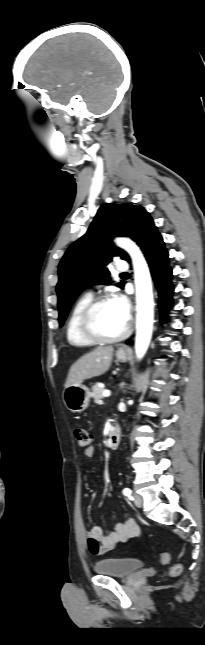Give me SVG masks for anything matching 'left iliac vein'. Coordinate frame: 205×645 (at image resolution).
Listing matches in <instances>:
<instances>
[{"label": "left iliac vein", "mask_w": 205, "mask_h": 645, "mask_svg": "<svg viewBox=\"0 0 205 645\" xmlns=\"http://www.w3.org/2000/svg\"><path fill=\"white\" fill-rule=\"evenodd\" d=\"M133 500H134V504H135L137 507L141 508V507L143 506V498H142V496H140V495H138V494H135V495L133 496Z\"/></svg>", "instance_id": "4c4485c4"}]
</instances>
